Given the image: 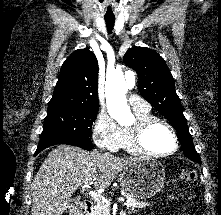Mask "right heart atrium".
Returning a JSON list of instances; mask_svg holds the SVG:
<instances>
[{
	"mask_svg": "<svg viewBox=\"0 0 221 215\" xmlns=\"http://www.w3.org/2000/svg\"><path fill=\"white\" fill-rule=\"evenodd\" d=\"M92 138L98 147L115 152L121 146L122 129L109 114L100 112L93 123Z\"/></svg>",
	"mask_w": 221,
	"mask_h": 215,
	"instance_id": "d8ad5b80",
	"label": "right heart atrium"
}]
</instances>
